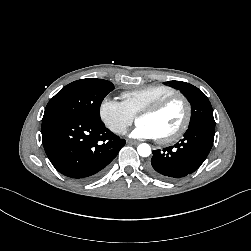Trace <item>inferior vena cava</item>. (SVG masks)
<instances>
[{"label": "inferior vena cava", "mask_w": 251, "mask_h": 251, "mask_svg": "<svg viewBox=\"0 0 251 251\" xmlns=\"http://www.w3.org/2000/svg\"><path fill=\"white\" fill-rule=\"evenodd\" d=\"M118 133H120V134H126L127 133V129H126V127H121L119 130H118Z\"/></svg>", "instance_id": "inferior-vena-cava-1"}]
</instances>
